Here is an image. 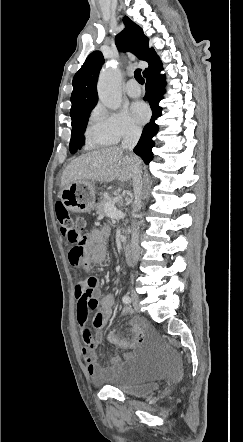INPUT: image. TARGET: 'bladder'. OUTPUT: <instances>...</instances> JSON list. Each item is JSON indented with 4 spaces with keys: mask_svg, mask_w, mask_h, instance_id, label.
<instances>
[{
    "mask_svg": "<svg viewBox=\"0 0 243 442\" xmlns=\"http://www.w3.org/2000/svg\"><path fill=\"white\" fill-rule=\"evenodd\" d=\"M155 371L153 358L141 353L128 354L119 362L105 386L131 396L149 395L159 387Z\"/></svg>",
    "mask_w": 243,
    "mask_h": 442,
    "instance_id": "obj_1",
    "label": "bladder"
}]
</instances>
